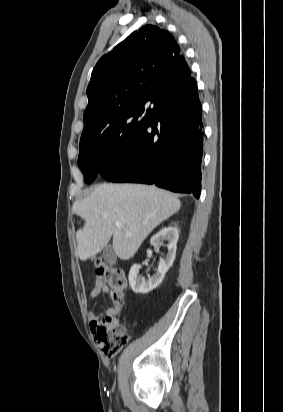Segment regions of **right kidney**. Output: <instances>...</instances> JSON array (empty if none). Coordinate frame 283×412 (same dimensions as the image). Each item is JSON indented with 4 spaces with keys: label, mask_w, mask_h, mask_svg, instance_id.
Returning a JSON list of instances; mask_svg holds the SVG:
<instances>
[{
    "label": "right kidney",
    "mask_w": 283,
    "mask_h": 412,
    "mask_svg": "<svg viewBox=\"0 0 283 412\" xmlns=\"http://www.w3.org/2000/svg\"><path fill=\"white\" fill-rule=\"evenodd\" d=\"M178 238V229L173 226L162 229L151 238L150 243L154 247L162 245L163 241H167L168 252L165 258L160 259L157 272L154 275L150 276L148 280H145L139 275V270L141 268L139 264H134L131 267L129 272V284L133 292L146 294L157 288L161 284L166 272L174 262ZM147 254L151 255L152 251L148 249Z\"/></svg>",
    "instance_id": "1"
}]
</instances>
